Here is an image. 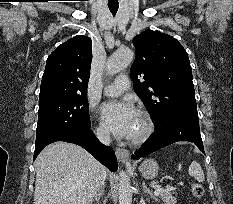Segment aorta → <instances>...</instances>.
Returning <instances> with one entry per match:
<instances>
[{
	"label": "aorta",
	"instance_id": "aorta-1",
	"mask_svg": "<svg viewBox=\"0 0 233 204\" xmlns=\"http://www.w3.org/2000/svg\"><path fill=\"white\" fill-rule=\"evenodd\" d=\"M134 53L130 48H120L107 60L106 70L108 74H116L125 69L133 60ZM119 204L132 203V187L130 178L126 172H119Z\"/></svg>",
	"mask_w": 233,
	"mask_h": 204
}]
</instances>
